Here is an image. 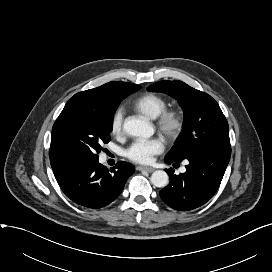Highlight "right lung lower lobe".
<instances>
[{"mask_svg":"<svg viewBox=\"0 0 272 272\" xmlns=\"http://www.w3.org/2000/svg\"><path fill=\"white\" fill-rule=\"evenodd\" d=\"M134 171V166L124 161L108 169L94 159L65 164L54 176L73 202L88 208H101L119 196Z\"/></svg>","mask_w":272,"mask_h":272,"instance_id":"98d812e1","label":"right lung lower lobe"}]
</instances>
